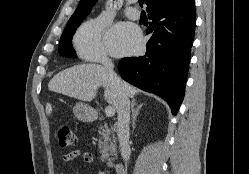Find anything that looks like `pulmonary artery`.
<instances>
[{
    "instance_id": "obj_1",
    "label": "pulmonary artery",
    "mask_w": 249,
    "mask_h": 174,
    "mask_svg": "<svg viewBox=\"0 0 249 174\" xmlns=\"http://www.w3.org/2000/svg\"><path fill=\"white\" fill-rule=\"evenodd\" d=\"M136 0H129L128 5L125 8V13L127 17L132 20H139L140 19V12L139 10L133 6Z\"/></svg>"
}]
</instances>
